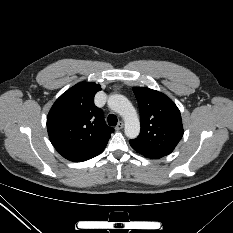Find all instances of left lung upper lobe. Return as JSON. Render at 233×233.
I'll list each match as a JSON object with an SVG mask.
<instances>
[{"label":"left lung upper lobe","instance_id":"5c2ea615","mask_svg":"<svg viewBox=\"0 0 233 233\" xmlns=\"http://www.w3.org/2000/svg\"><path fill=\"white\" fill-rule=\"evenodd\" d=\"M140 110L141 131L136 144L153 153L170 154L183 136L180 111L166 95L144 87H134Z\"/></svg>","mask_w":233,"mask_h":233}]
</instances>
